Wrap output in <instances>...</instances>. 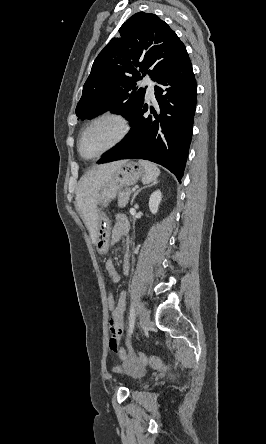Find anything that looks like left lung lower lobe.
<instances>
[{
	"label": "left lung lower lobe",
	"instance_id": "0a47b994",
	"mask_svg": "<svg viewBox=\"0 0 266 444\" xmlns=\"http://www.w3.org/2000/svg\"><path fill=\"white\" fill-rule=\"evenodd\" d=\"M155 97L160 112L144 117L142 105L130 120L131 133L98 163L141 158L169 169L179 182L188 156L196 107L197 85L188 53L157 79Z\"/></svg>",
	"mask_w": 266,
	"mask_h": 444
}]
</instances>
